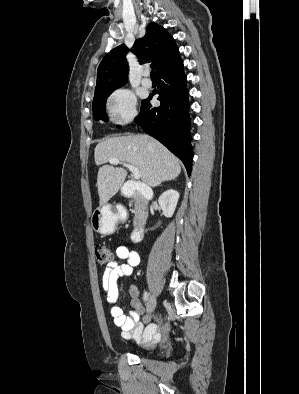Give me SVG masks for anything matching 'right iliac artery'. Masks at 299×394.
<instances>
[{"label":"right iliac artery","instance_id":"1","mask_svg":"<svg viewBox=\"0 0 299 394\" xmlns=\"http://www.w3.org/2000/svg\"><path fill=\"white\" fill-rule=\"evenodd\" d=\"M148 298H149V293L145 292L144 295H143L144 302H147Z\"/></svg>","mask_w":299,"mask_h":394}]
</instances>
